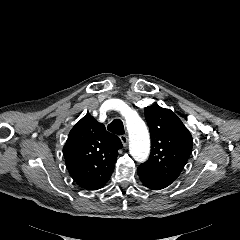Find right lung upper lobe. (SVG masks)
Segmentation results:
<instances>
[{
    "label": "right lung upper lobe",
    "mask_w": 240,
    "mask_h": 240,
    "mask_svg": "<svg viewBox=\"0 0 240 240\" xmlns=\"http://www.w3.org/2000/svg\"><path fill=\"white\" fill-rule=\"evenodd\" d=\"M123 147L118 136L85 115L70 131L63 148L70 176L83 189L97 190L109 180Z\"/></svg>",
    "instance_id": "obj_1"
}]
</instances>
